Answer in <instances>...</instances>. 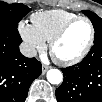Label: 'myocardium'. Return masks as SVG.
<instances>
[{"mask_svg":"<svg viewBox=\"0 0 102 102\" xmlns=\"http://www.w3.org/2000/svg\"><path fill=\"white\" fill-rule=\"evenodd\" d=\"M78 22H85L90 30V35H89V39L87 41L86 46L84 47V49L81 51V53L72 58V59H60L58 58L55 54H54V49L55 47L58 45V43L63 39V37L66 35V33L70 30V28L75 25ZM93 41H94V29L92 26L91 21L88 18L85 17H77L75 19H73L72 21L68 22L64 27H62L50 40L49 43V52L51 54V56L62 66H72L75 65L77 63H79L80 61H82L85 56L88 54V52L90 51L92 45H93Z\"/></svg>","mask_w":102,"mask_h":102,"instance_id":"myocardium-1","label":"myocardium"}]
</instances>
